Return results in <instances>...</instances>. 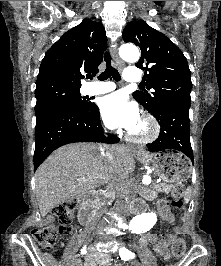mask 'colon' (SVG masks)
<instances>
[{
  "label": "colon",
  "mask_w": 221,
  "mask_h": 266,
  "mask_svg": "<svg viewBox=\"0 0 221 266\" xmlns=\"http://www.w3.org/2000/svg\"><path fill=\"white\" fill-rule=\"evenodd\" d=\"M184 185L178 184L174 188V196L170 202V206L174 209H180L182 206V194L184 192ZM76 209V203L73 200L65 201L57 205L52 214L57 218L59 222L58 228L52 226H46L43 228H37L33 230V236L38 243L45 249H52L56 243L58 235H68L72 232V219ZM159 213L163 220L166 222H172L173 215L170 212L169 206L161 202L159 207ZM169 241H172V254L175 258H180L186 250L185 241L182 238H174L171 234L162 233L159 235V243L166 245Z\"/></svg>",
  "instance_id": "1"
}]
</instances>
